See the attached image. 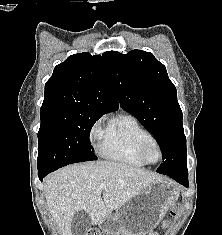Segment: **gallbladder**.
<instances>
[{"mask_svg": "<svg viewBox=\"0 0 222 235\" xmlns=\"http://www.w3.org/2000/svg\"><path fill=\"white\" fill-rule=\"evenodd\" d=\"M73 235H86L90 227V218L85 211L77 212L72 219Z\"/></svg>", "mask_w": 222, "mask_h": 235, "instance_id": "gallbladder-1", "label": "gallbladder"}]
</instances>
